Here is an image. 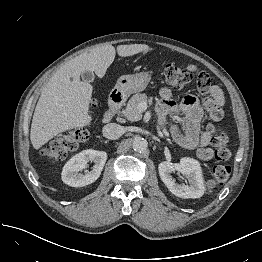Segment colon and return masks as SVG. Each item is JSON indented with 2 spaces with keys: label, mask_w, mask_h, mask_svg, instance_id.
Returning <instances> with one entry per match:
<instances>
[{
  "label": "colon",
  "mask_w": 262,
  "mask_h": 262,
  "mask_svg": "<svg viewBox=\"0 0 262 262\" xmlns=\"http://www.w3.org/2000/svg\"><path fill=\"white\" fill-rule=\"evenodd\" d=\"M162 71L165 83L174 89H181L191 84L194 80V77L184 68L171 63L163 64ZM91 106L92 108L97 106L95 100L91 102ZM209 130L212 134L211 143L215 148V156L219 161V163L213 167L212 173L215 180L222 183L229 178L231 173V167L223 162L229 160L232 153L226 145V133L217 125H211ZM84 134L85 131L79 129L73 130L71 133L58 138L43 150V156L52 161H59L67 158L69 153L77 149Z\"/></svg>",
  "instance_id": "5ec220e1"
}]
</instances>
